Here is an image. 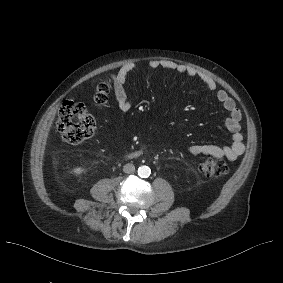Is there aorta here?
<instances>
[{
	"label": "aorta",
	"instance_id": "aorta-1",
	"mask_svg": "<svg viewBox=\"0 0 283 283\" xmlns=\"http://www.w3.org/2000/svg\"><path fill=\"white\" fill-rule=\"evenodd\" d=\"M151 174V170L148 166H140L138 168V175L142 178H147Z\"/></svg>",
	"mask_w": 283,
	"mask_h": 283
}]
</instances>
